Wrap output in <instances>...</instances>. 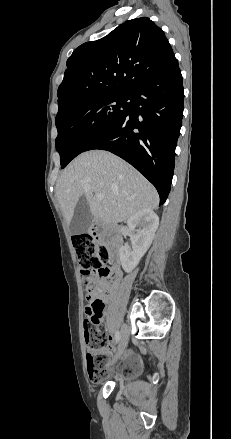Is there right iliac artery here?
<instances>
[{"mask_svg":"<svg viewBox=\"0 0 231 439\" xmlns=\"http://www.w3.org/2000/svg\"><path fill=\"white\" fill-rule=\"evenodd\" d=\"M120 337H121L120 332L117 331L116 334H115L116 343L120 340Z\"/></svg>","mask_w":231,"mask_h":439,"instance_id":"82829eb1","label":"right iliac artery"}]
</instances>
